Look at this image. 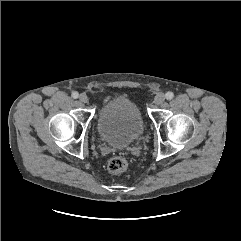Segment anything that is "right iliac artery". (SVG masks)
<instances>
[{"label": "right iliac artery", "instance_id": "right-iliac-artery-1", "mask_svg": "<svg viewBox=\"0 0 241 241\" xmlns=\"http://www.w3.org/2000/svg\"><path fill=\"white\" fill-rule=\"evenodd\" d=\"M78 96H79L78 92L74 91V92L72 93V97H73L74 99H77Z\"/></svg>", "mask_w": 241, "mask_h": 241}]
</instances>
